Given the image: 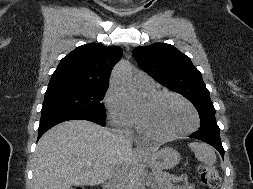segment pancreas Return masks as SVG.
Segmentation results:
<instances>
[{"instance_id":"pancreas-1","label":"pancreas","mask_w":253,"mask_h":189,"mask_svg":"<svg viewBox=\"0 0 253 189\" xmlns=\"http://www.w3.org/2000/svg\"><path fill=\"white\" fill-rule=\"evenodd\" d=\"M154 176L156 179V182L160 187L164 186H171L172 183H178L183 180H187V176H175L171 175L169 173L163 172L162 170H155Z\"/></svg>"}]
</instances>
